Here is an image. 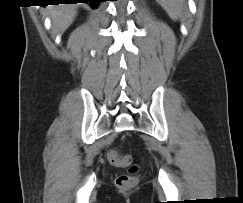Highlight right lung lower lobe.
Wrapping results in <instances>:
<instances>
[{
	"label": "right lung lower lobe",
	"mask_w": 243,
	"mask_h": 203,
	"mask_svg": "<svg viewBox=\"0 0 243 203\" xmlns=\"http://www.w3.org/2000/svg\"><path fill=\"white\" fill-rule=\"evenodd\" d=\"M105 0H59L58 3H89L93 8H97L99 2ZM44 5V4H43Z\"/></svg>",
	"instance_id": "right-lung-lower-lobe-1"
}]
</instances>
